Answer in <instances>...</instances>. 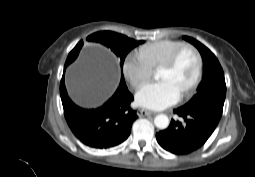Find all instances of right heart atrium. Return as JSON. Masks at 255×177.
<instances>
[{"mask_svg":"<svg viewBox=\"0 0 255 177\" xmlns=\"http://www.w3.org/2000/svg\"><path fill=\"white\" fill-rule=\"evenodd\" d=\"M123 72L130 84L137 88L153 75L154 68L141 52H131L124 60Z\"/></svg>","mask_w":255,"mask_h":177,"instance_id":"1","label":"right heart atrium"}]
</instances>
